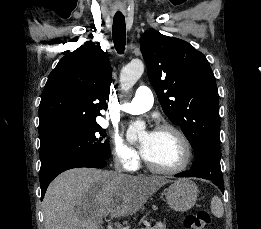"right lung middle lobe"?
I'll list each match as a JSON object with an SVG mask.
<instances>
[{
	"instance_id": "dd1d6c3e",
	"label": "right lung middle lobe",
	"mask_w": 261,
	"mask_h": 229,
	"mask_svg": "<svg viewBox=\"0 0 261 229\" xmlns=\"http://www.w3.org/2000/svg\"><path fill=\"white\" fill-rule=\"evenodd\" d=\"M106 132L98 124L70 141L40 150L41 168L49 164L84 159L106 160L110 156Z\"/></svg>"
}]
</instances>
